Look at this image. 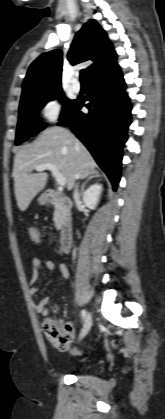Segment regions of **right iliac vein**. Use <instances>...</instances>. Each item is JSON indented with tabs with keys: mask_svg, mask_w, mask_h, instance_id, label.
<instances>
[{
	"mask_svg": "<svg viewBox=\"0 0 165 419\" xmlns=\"http://www.w3.org/2000/svg\"><path fill=\"white\" fill-rule=\"evenodd\" d=\"M91 326H92V316L90 313H88L85 317L83 328L80 333V337H79L80 340L83 339L88 334V332L91 329Z\"/></svg>",
	"mask_w": 165,
	"mask_h": 419,
	"instance_id": "right-iliac-vein-1",
	"label": "right iliac vein"
}]
</instances>
